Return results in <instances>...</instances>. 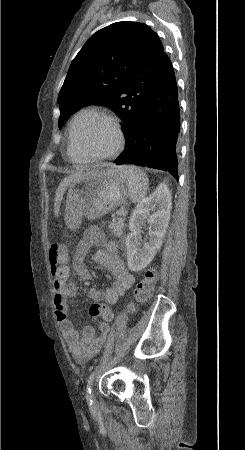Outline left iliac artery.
<instances>
[{
	"instance_id": "44dca946",
	"label": "left iliac artery",
	"mask_w": 245,
	"mask_h": 450,
	"mask_svg": "<svg viewBox=\"0 0 245 450\" xmlns=\"http://www.w3.org/2000/svg\"><path fill=\"white\" fill-rule=\"evenodd\" d=\"M95 376H96V371H94L87 380V387H86L87 396H86V398H87V401H89L91 403H92L93 399L90 394H91V388H92Z\"/></svg>"
}]
</instances>
